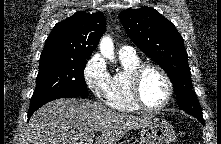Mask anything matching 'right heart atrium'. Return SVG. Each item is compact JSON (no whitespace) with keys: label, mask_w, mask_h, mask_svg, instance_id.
Segmentation results:
<instances>
[{"label":"right heart atrium","mask_w":221,"mask_h":144,"mask_svg":"<svg viewBox=\"0 0 221 144\" xmlns=\"http://www.w3.org/2000/svg\"><path fill=\"white\" fill-rule=\"evenodd\" d=\"M83 77L88 89L102 101H107L111 94V75L104 59L94 54L85 64Z\"/></svg>","instance_id":"1"}]
</instances>
